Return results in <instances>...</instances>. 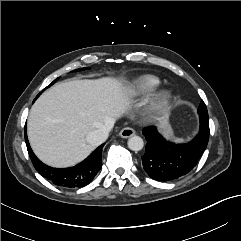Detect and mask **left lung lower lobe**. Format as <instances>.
Here are the masks:
<instances>
[{"mask_svg": "<svg viewBox=\"0 0 241 241\" xmlns=\"http://www.w3.org/2000/svg\"><path fill=\"white\" fill-rule=\"evenodd\" d=\"M146 138L142 165L157 181H172L188 174L197 164L209 140V127L200 124L199 133L188 143L174 144L165 140L156 127L143 129Z\"/></svg>", "mask_w": 241, "mask_h": 241, "instance_id": "left-lung-lower-lobe-1", "label": "left lung lower lobe"}]
</instances>
